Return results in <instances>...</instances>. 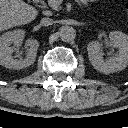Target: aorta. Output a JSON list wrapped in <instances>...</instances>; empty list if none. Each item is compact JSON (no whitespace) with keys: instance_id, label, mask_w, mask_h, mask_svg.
I'll return each instance as SVG.
<instances>
[{"instance_id":"obj_1","label":"aorta","mask_w":128,"mask_h":128,"mask_svg":"<svg viewBox=\"0 0 128 128\" xmlns=\"http://www.w3.org/2000/svg\"><path fill=\"white\" fill-rule=\"evenodd\" d=\"M59 35L62 41L70 42L75 38L76 31L73 27L66 25L60 28Z\"/></svg>"}]
</instances>
